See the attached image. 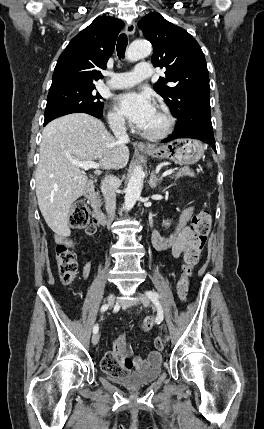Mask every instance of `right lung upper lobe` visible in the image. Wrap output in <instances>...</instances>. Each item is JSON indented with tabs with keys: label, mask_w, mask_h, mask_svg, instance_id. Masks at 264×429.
I'll list each match as a JSON object with an SVG mask.
<instances>
[{
	"label": "right lung upper lobe",
	"mask_w": 264,
	"mask_h": 429,
	"mask_svg": "<svg viewBox=\"0 0 264 429\" xmlns=\"http://www.w3.org/2000/svg\"><path fill=\"white\" fill-rule=\"evenodd\" d=\"M124 23L116 18L97 17L75 36L60 55L50 89L66 85H94L112 55Z\"/></svg>",
	"instance_id": "1"
}]
</instances>
